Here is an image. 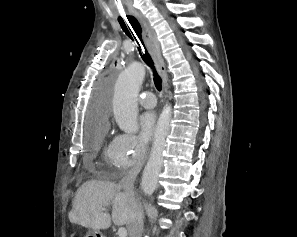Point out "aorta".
I'll list each match as a JSON object with an SVG mask.
<instances>
[{
	"mask_svg": "<svg viewBox=\"0 0 297 237\" xmlns=\"http://www.w3.org/2000/svg\"><path fill=\"white\" fill-rule=\"evenodd\" d=\"M145 67L140 62L131 63L117 78L113 97V113L121 131L133 134L139 130L137 97L145 77ZM172 110L166 106L157 124L154 143L142 175L141 188L145 195L154 193L163 166L166 138L170 131Z\"/></svg>",
	"mask_w": 297,
	"mask_h": 237,
	"instance_id": "aorta-1",
	"label": "aorta"
}]
</instances>
